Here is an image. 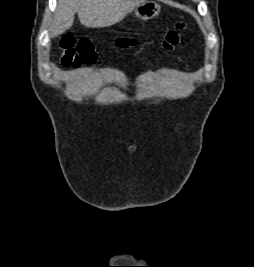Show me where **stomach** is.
<instances>
[{"mask_svg":"<svg viewBox=\"0 0 254 267\" xmlns=\"http://www.w3.org/2000/svg\"><path fill=\"white\" fill-rule=\"evenodd\" d=\"M161 7L152 0H145L134 9V15L142 20H149L160 13Z\"/></svg>","mask_w":254,"mask_h":267,"instance_id":"0dacf381","label":"stomach"}]
</instances>
